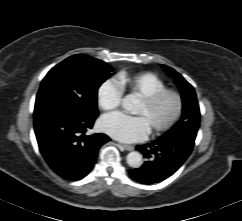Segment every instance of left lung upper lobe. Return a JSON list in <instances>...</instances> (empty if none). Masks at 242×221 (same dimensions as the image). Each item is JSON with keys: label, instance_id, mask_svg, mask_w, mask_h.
Returning a JSON list of instances; mask_svg holds the SVG:
<instances>
[{"label": "left lung upper lobe", "instance_id": "5c2ea615", "mask_svg": "<svg viewBox=\"0 0 242 221\" xmlns=\"http://www.w3.org/2000/svg\"><path fill=\"white\" fill-rule=\"evenodd\" d=\"M162 68L175 79L181 91L183 102L182 118L163 137H196L200 125V111L194 88L174 69L165 65H162Z\"/></svg>", "mask_w": 242, "mask_h": 221}]
</instances>
